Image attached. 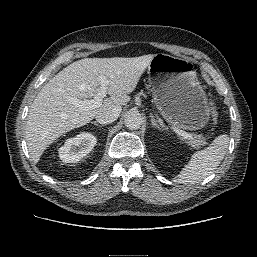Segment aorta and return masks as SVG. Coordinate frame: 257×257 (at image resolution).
Instances as JSON below:
<instances>
[{
    "mask_svg": "<svg viewBox=\"0 0 257 257\" xmlns=\"http://www.w3.org/2000/svg\"><path fill=\"white\" fill-rule=\"evenodd\" d=\"M125 126L130 130H137L142 125V116L136 110H130L124 117Z\"/></svg>",
    "mask_w": 257,
    "mask_h": 257,
    "instance_id": "762f6f07",
    "label": "aorta"
}]
</instances>
